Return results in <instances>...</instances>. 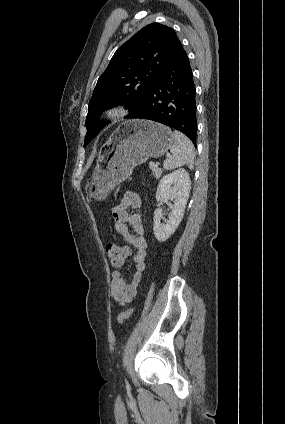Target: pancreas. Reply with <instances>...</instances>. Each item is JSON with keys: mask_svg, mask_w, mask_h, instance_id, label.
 I'll list each match as a JSON object with an SVG mask.
<instances>
[{"mask_svg": "<svg viewBox=\"0 0 285 424\" xmlns=\"http://www.w3.org/2000/svg\"><path fill=\"white\" fill-rule=\"evenodd\" d=\"M162 174V169H159L158 167H153L152 168V175L156 178L159 179L160 176Z\"/></svg>", "mask_w": 285, "mask_h": 424, "instance_id": "1", "label": "pancreas"}]
</instances>
